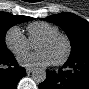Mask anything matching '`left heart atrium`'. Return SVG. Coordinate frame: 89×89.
I'll return each instance as SVG.
<instances>
[{
    "label": "left heart atrium",
    "mask_w": 89,
    "mask_h": 89,
    "mask_svg": "<svg viewBox=\"0 0 89 89\" xmlns=\"http://www.w3.org/2000/svg\"><path fill=\"white\" fill-rule=\"evenodd\" d=\"M18 61L24 66H47L53 61L45 51L26 53L18 57Z\"/></svg>",
    "instance_id": "obj_1"
}]
</instances>
